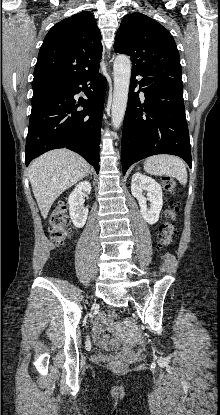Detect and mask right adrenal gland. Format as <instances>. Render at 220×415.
Segmentation results:
<instances>
[{
    "mask_svg": "<svg viewBox=\"0 0 220 415\" xmlns=\"http://www.w3.org/2000/svg\"><path fill=\"white\" fill-rule=\"evenodd\" d=\"M88 175H91V171H89ZM88 175H87V176H88Z\"/></svg>",
    "mask_w": 220,
    "mask_h": 415,
    "instance_id": "right-adrenal-gland-1",
    "label": "right adrenal gland"
}]
</instances>
